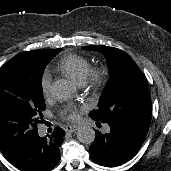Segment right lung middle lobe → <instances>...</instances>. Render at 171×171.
<instances>
[{"label":"right lung middle lobe","mask_w":171,"mask_h":171,"mask_svg":"<svg viewBox=\"0 0 171 171\" xmlns=\"http://www.w3.org/2000/svg\"><path fill=\"white\" fill-rule=\"evenodd\" d=\"M61 50L22 52L0 68V150L6 159L38 133L45 110L42 75Z\"/></svg>","instance_id":"dd1d6c3e"}]
</instances>
